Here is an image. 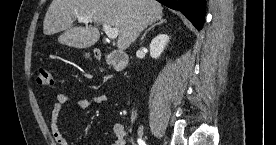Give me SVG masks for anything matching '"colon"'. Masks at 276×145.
Here are the masks:
<instances>
[{
  "instance_id": "colon-1",
  "label": "colon",
  "mask_w": 276,
  "mask_h": 145,
  "mask_svg": "<svg viewBox=\"0 0 276 145\" xmlns=\"http://www.w3.org/2000/svg\"><path fill=\"white\" fill-rule=\"evenodd\" d=\"M37 83L42 87H52L54 85V76L50 69L40 68L36 77Z\"/></svg>"
}]
</instances>
